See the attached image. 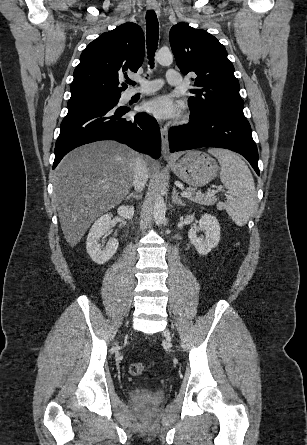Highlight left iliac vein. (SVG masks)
<instances>
[{
	"label": "left iliac vein",
	"instance_id": "4c4485c4",
	"mask_svg": "<svg viewBox=\"0 0 307 445\" xmlns=\"http://www.w3.org/2000/svg\"><path fill=\"white\" fill-rule=\"evenodd\" d=\"M164 335H165V336H169V335H170L169 331L166 330V331L164 332Z\"/></svg>",
	"mask_w": 307,
	"mask_h": 445
}]
</instances>
